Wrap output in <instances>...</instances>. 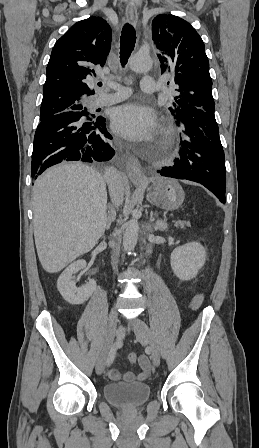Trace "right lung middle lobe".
I'll use <instances>...</instances> for the list:
<instances>
[{
  "instance_id": "1",
  "label": "right lung middle lobe",
  "mask_w": 259,
  "mask_h": 448,
  "mask_svg": "<svg viewBox=\"0 0 259 448\" xmlns=\"http://www.w3.org/2000/svg\"><path fill=\"white\" fill-rule=\"evenodd\" d=\"M65 112H68L70 115H73V116L87 117L88 119L95 116L94 114L89 113L88 108L82 104V105H74V106L68 107L66 109H63L61 111H58V112L40 114V120L42 121L51 116L65 113Z\"/></svg>"
}]
</instances>
